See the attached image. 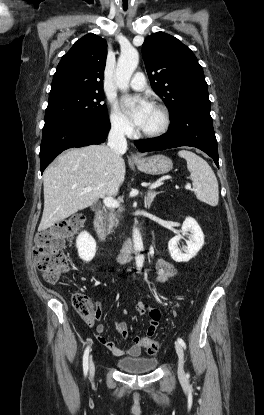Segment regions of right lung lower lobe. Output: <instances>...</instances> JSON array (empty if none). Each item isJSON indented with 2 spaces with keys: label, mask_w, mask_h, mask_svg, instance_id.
<instances>
[{
  "label": "right lung lower lobe",
  "mask_w": 264,
  "mask_h": 415,
  "mask_svg": "<svg viewBox=\"0 0 264 415\" xmlns=\"http://www.w3.org/2000/svg\"><path fill=\"white\" fill-rule=\"evenodd\" d=\"M110 127L108 117L45 123L40 147L41 173L57 155L68 148L104 142Z\"/></svg>",
  "instance_id": "obj_1"
}]
</instances>
